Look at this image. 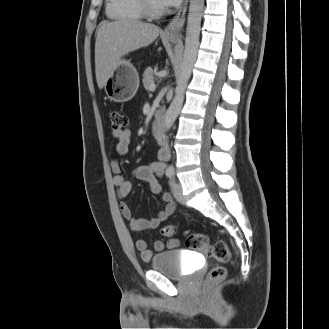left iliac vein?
<instances>
[{
	"label": "left iliac vein",
	"instance_id": "obj_1",
	"mask_svg": "<svg viewBox=\"0 0 329 329\" xmlns=\"http://www.w3.org/2000/svg\"><path fill=\"white\" fill-rule=\"evenodd\" d=\"M173 195L179 203H184V197L182 194V187L179 183L174 184Z\"/></svg>",
	"mask_w": 329,
	"mask_h": 329
}]
</instances>
